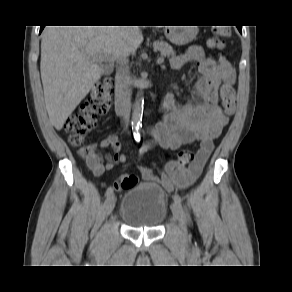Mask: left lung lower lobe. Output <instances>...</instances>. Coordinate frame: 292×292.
I'll list each match as a JSON object with an SVG mask.
<instances>
[{
	"label": "left lung lower lobe",
	"instance_id": "0a47b994",
	"mask_svg": "<svg viewBox=\"0 0 292 292\" xmlns=\"http://www.w3.org/2000/svg\"><path fill=\"white\" fill-rule=\"evenodd\" d=\"M237 28H238V30L242 33V27L239 26V27H237Z\"/></svg>",
	"mask_w": 292,
	"mask_h": 292
}]
</instances>
